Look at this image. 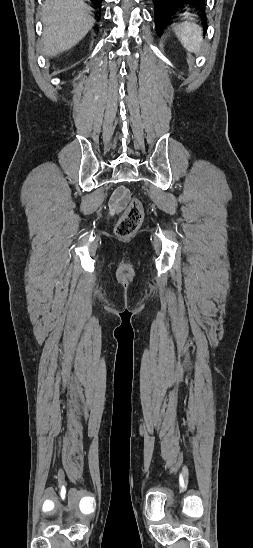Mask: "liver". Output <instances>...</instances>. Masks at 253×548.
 I'll use <instances>...</instances> for the list:
<instances>
[{"instance_id": "liver-1", "label": "liver", "mask_w": 253, "mask_h": 548, "mask_svg": "<svg viewBox=\"0 0 253 548\" xmlns=\"http://www.w3.org/2000/svg\"><path fill=\"white\" fill-rule=\"evenodd\" d=\"M90 13L82 0H46L41 16L43 54L56 56L79 43L95 23Z\"/></svg>"}]
</instances>
